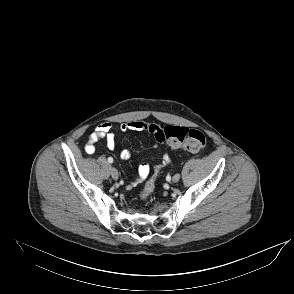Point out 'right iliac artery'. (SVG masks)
I'll return each instance as SVG.
<instances>
[{
    "instance_id": "obj_1",
    "label": "right iliac artery",
    "mask_w": 294,
    "mask_h": 294,
    "mask_svg": "<svg viewBox=\"0 0 294 294\" xmlns=\"http://www.w3.org/2000/svg\"><path fill=\"white\" fill-rule=\"evenodd\" d=\"M108 162H109V163H113V158H111V157L108 158Z\"/></svg>"
}]
</instances>
